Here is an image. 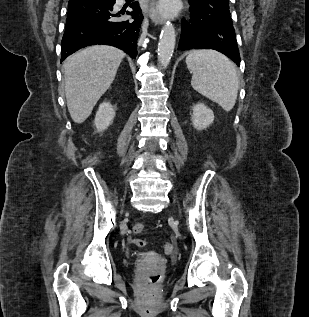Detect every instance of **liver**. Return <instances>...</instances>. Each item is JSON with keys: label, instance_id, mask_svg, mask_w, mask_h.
Listing matches in <instances>:
<instances>
[{"label": "liver", "instance_id": "obj_1", "mask_svg": "<svg viewBox=\"0 0 309 317\" xmlns=\"http://www.w3.org/2000/svg\"><path fill=\"white\" fill-rule=\"evenodd\" d=\"M125 54L107 45L76 52L64 64L65 95L72 120L83 123L112 84Z\"/></svg>", "mask_w": 309, "mask_h": 317}]
</instances>
